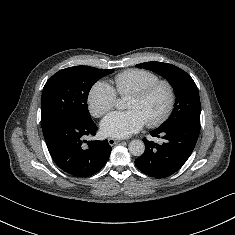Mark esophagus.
<instances>
[{"label": "esophagus", "instance_id": "obj_1", "mask_svg": "<svg viewBox=\"0 0 235 235\" xmlns=\"http://www.w3.org/2000/svg\"><path fill=\"white\" fill-rule=\"evenodd\" d=\"M119 142H120L119 139L108 138V143H109L111 146H113V145H115V144H117V143H119Z\"/></svg>", "mask_w": 235, "mask_h": 235}]
</instances>
